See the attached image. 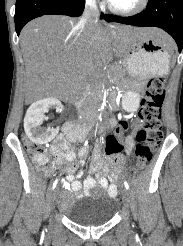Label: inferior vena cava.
<instances>
[{"label":"inferior vena cava","mask_w":183,"mask_h":246,"mask_svg":"<svg viewBox=\"0 0 183 246\" xmlns=\"http://www.w3.org/2000/svg\"><path fill=\"white\" fill-rule=\"evenodd\" d=\"M99 10L96 5V0H86L85 9L78 25L90 28L98 22Z\"/></svg>","instance_id":"obj_1"}]
</instances>
